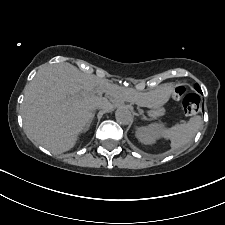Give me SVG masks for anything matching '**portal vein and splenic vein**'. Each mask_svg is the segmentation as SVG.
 <instances>
[{"mask_svg": "<svg viewBox=\"0 0 225 225\" xmlns=\"http://www.w3.org/2000/svg\"><path fill=\"white\" fill-rule=\"evenodd\" d=\"M81 96H86L87 95V92L86 91H81ZM80 95H76L75 97H79Z\"/></svg>", "mask_w": 225, "mask_h": 225, "instance_id": "obj_1", "label": "portal vein and splenic vein"}]
</instances>
